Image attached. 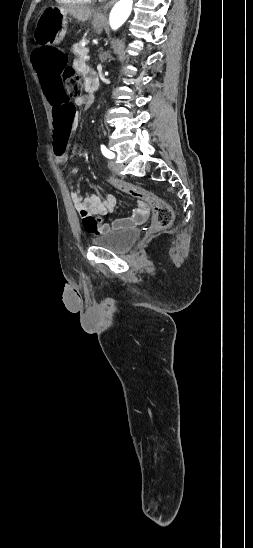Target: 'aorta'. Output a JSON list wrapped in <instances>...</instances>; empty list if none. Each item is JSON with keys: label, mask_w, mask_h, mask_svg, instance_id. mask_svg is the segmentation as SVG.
<instances>
[{"label": "aorta", "mask_w": 253, "mask_h": 548, "mask_svg": "<svg viewBox=\"0 0 253 548\" xmlns=\"http://www.w3.org/2000/svg\"><path fill=\"white\" fill-rule=\"evenodd\" d=\"M133 6V0H119L112 8L109 24L113 30L120 28L128 19Z\"/></svg>", "instance_id": "762f6f07"}]
</instances>
